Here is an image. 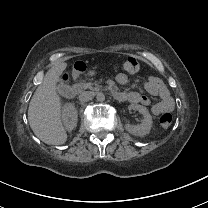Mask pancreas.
<instances>
[{"label": "pancreas", "instance_id": "1", "mask_svg": "<svg viewBox=\"0 0 208 208\" xmlns=\"http://www.w3.org/2000/svg\"><path fill=\"white\" fill-rule=\"evenodd\" d=\"M84 89H90L92 91H100V90H107V88H103L101 85H99L97 82H89V83H83L82 84Z\"/></svg>", "mask_w": 208, "mask_h": 208}]
</instances>
